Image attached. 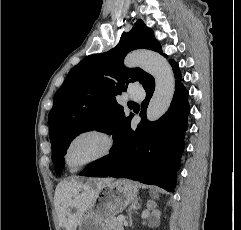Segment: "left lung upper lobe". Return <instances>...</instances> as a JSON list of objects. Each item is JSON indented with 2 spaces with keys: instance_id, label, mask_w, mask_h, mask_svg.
<instances>
[{
  "instance_id": "5c2ea615",
  "label": "left lung upper lobe",
  "mask_w": 241,
  "mask_h": 230,
  "mask_svg": "<svg viewBox=\"0 0 241 230\" xmlns=\"http://www.w3.org/2000/svg\"><path fill=\"white\" fill-rule=\"evenodd\" d=\"M135 49L153 50L166 57L153 31L138 20L122 34L115 48L87 56L72 68L56 92L48 121L57 175L62 173L63 156L77 135L96 129L115 138L121 125L132 118V114L125 116L116 95L126 91L131 82L139 81L144 87L152 78L140 68L124 66L125 56Z\"/></svg>"
}]
</instances>
